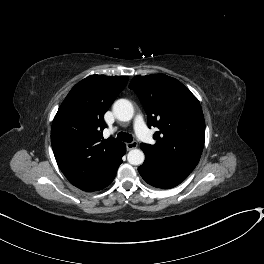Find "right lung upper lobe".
Returning a JSON list of instances; mask_svg holds the SVG:
<instances>
[{"label":"right lung upper lobe","instance_id":"right-lung-upper-lobe-1","mask_svg":"<svg viewBox=\"0 0 264 264\" xmlns=\"http://www.w3.org/2000/svg\"><path fill=\"white\" fill-rule=\"evenodd\" d=\"M128 78L88 76L71 89L54 117L51 144L55 159L65 177L83 191L104 185L122 163L125 144L103 138V115Z\"/></svg>","mask_w":264,"mask_h":264}]
</instances>
